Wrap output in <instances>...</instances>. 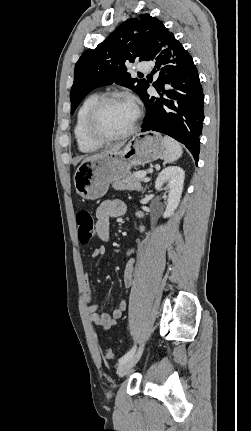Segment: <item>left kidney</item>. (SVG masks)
<instances>
[{"label": "left kidney", "mask_w": 251, "mask_h": 431, "mask_svg": "<svg viewBox=\"0 0 251 431\" xmlns=\"http://www.w3.org/2000/svg\"><path fill=\"white\" fill-rule=\"evenodd\" d=\"M185 172L181 167L169 166L164 168L158 175L155 188L161 190L167 184L168 200L163 218L171 217L177 209L183 191Z\"/></svg>", "instance_id": "5707ae66"}]
</instances>
